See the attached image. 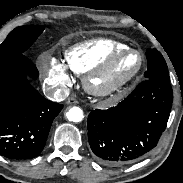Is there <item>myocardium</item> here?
<instances>
[{"instance_id": "myocardium-1", "label": "myocardium", "mask_w": 183, "mask_h": 183, "mask_svg": "<svg viewBox=\"0 0 183 183\" xmlns=\"http://www.w3.org/2000/svg\"><path fill=\"white\" fill-rule=\"evenodd\" d=\"M127 53H133L138 55L139 57V66L136 69V71L130 75L125 80L113 83L105 87H99L96 85V80L99 79L101 76L106 75L112 67L115 65L116 61ZM144 68V56L143 54L133 48H121L118 49L111 54H109L103 62H101L98 66L90 70L83 79V85L85 90L96 97H110L115 96L119 93H121L123 90H125L127 87H129L141 74L142 70Z\"/></svg>"}]
</instances>
